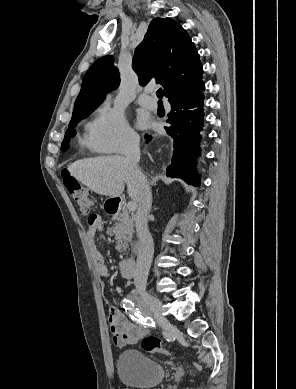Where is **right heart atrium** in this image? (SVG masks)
<instances>
[{"label":"right heart atrium","mask_w":296,"mask_h":389,"mask_svg":"<svg viewBox=\"0 0 296 389\" xmlns=\"http://www.w3.org/2000/svg\"><path fill=\"white\" fill-rule=\"evenodd\" d=\"M91 134L95 149L104 153L124 152L135 147L139 140L123 111L109 102L99 108Z\"/></svg>","instance_id":"d8ad5b80"}]
</instances>
